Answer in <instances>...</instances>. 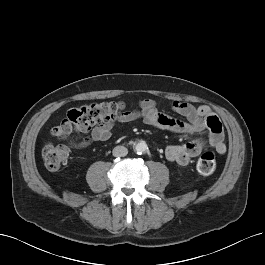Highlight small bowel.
I'll list each match as a JSON object with an SVG mask.
<instances>
[{"label":"small bowel","instance_id":"obj_1","mask_svg":"<svg viewBox=\"0 0 265 265\" xmlns=\"http://www.w3.org/2000/svg\"><path fill=\"white\" fill-rule=\"evenodd\" d=\"M139 107L140 109L137 111L125 112L119 122L128 123L141 120L145 124L156 128L178 133L201 135L207 129L210 130L208 119L210 116H214L211 109L207 106H194L179 101H174L171 108L175 113L184 117L186 121L162 114L159 111L157 102L152 99L141 100ZM113 127L114 122L97 125L92 129L89 138L82 141H74L70 144L73 147L82 148L90 145L92 142L108 141L111 138ZM210 143L218 153L223 154L226 152V145L222 134L215 135L211 132ZM203 145L204 143L200 140L183 145H169L165 150V156L168 161L185 166L201 152Z\"/></svg>","mask_w":265,"mask_h":265}]
</instances>
